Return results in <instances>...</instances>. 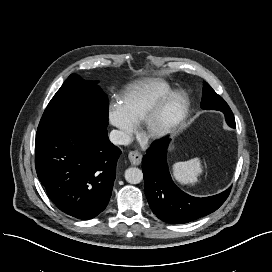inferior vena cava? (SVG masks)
Instances as JSON below:
<instances>
[{
	"mask_svg": "<svg viewBox=\"0 0 272 272\" xmlns=\"http://www.w3.org/2000/svg\"><path fill=\"white\" fill-rule=\"evenodd\" d=\"M109 139L114 145H128L131 142L130 136L120 130H112Z\"/></svg>",
	"mask_w": 272,
	"mask_h": 272,
	"instance_id": "1",
	"label": "inferior vena cava"
}]
</instances>
